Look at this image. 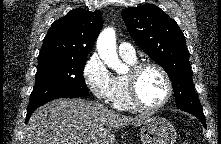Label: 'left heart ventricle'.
Returning <instances> with one entry per match:
<instances>
[{"label":"left heart ventricle","instance_id":"obj_1","mask_svg":"<svg viewBox=\"0 0 221 144\" xmlns=\"http://www.w3.org/2000/svg\"><path fill=\"white\" fill-rule=\"evenodd\" d=\"M138 95L146 105H157L166 95V83L161 73L154 69H146L137 83Z\"/></svg>","mask_w":221,"mask_h":144}]
</instances>
